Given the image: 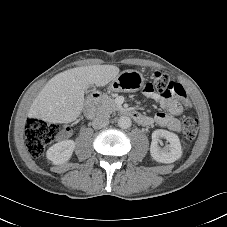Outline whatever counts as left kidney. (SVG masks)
<instances>
[{
	"label": "left kidney",
	"mask_w": 227,
	"mask_h": 227,
	"mask_svg": "<svg viewBox=\"0 0 227 227\" xmlns=\"http://www.w3.org/2000/svg\"><path fill=\"white\" fill-rule=\"evenodd\" d=\"M160 138H164L169 142L163 148L159 147ZM152 158L160 163H173L182 156V147L179 137L167 130L158 129L152 133V142L150 146Z\"/></svg>",
	"instance_id": "1"
}]
</instances>
